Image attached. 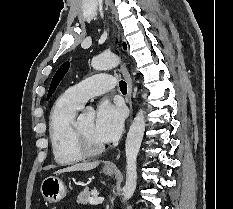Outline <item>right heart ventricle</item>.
I'll use <instances>...</instances> for the list:
<instances>
[{"label":"right heart ventricle","mask_w":233,"mask_h":209,"mask_svg":"<svg viewBox=\"0 0 233 209\" xmlns=\"http://www.w3.org/2000/svg\"><path fill=\"white\" fill-rule=\"evenodd\" d=\"M79 109L65 93L57 99L50 112V144L54 160L60 165L75 164L84 157L73 141V123Z\"/></svg>","instance_id":"right-heart-ventricle-1"}]
</instances>
